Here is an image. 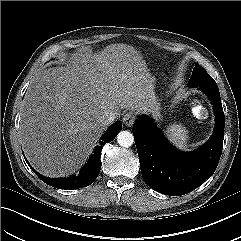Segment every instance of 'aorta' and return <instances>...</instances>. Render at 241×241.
Segmentation results:
<instances>
[{"label":"aorta","instance_id":"obj_1","mask_svg":"<svg viewBox=\"0 0 241 241\" xmlns=\"http://www.w3.org/2000/svg\"><path fill=\"white\" fill-rule=\"evenodd\" d=\"M117 142L120 146L128 148L134 143L133 134L129 131H121L117 135Z\"/></svg>","mask_w":241,"mask_h":241}]
</instances>
